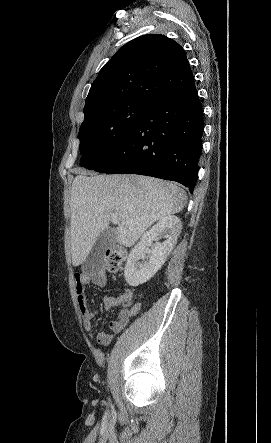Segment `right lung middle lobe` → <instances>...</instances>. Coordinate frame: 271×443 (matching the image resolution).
<instances>
[{
  "mask_svg": "<svg viewBox=\"0 0 271 443\" xmlns=\"http://www.w3.org/2000/svg\"><path fill=\"white\" fill-rule=\"evenodd\" d=\"M150 102L131 99L99 107L79 130L80 166L95 170L103 165L131 132Z\"/></svg>",
  "mask_w": 271,
  "mask_h": 443,
  "instance_id": "dd1d6c3e",
  "label": "right lung middle lobe"
}]
</instances>
